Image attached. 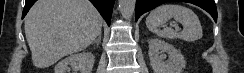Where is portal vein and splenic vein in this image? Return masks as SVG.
Segmentation results:
<instances>
[{
	"mask_svg": "<svg viewBox=\"0 0 244 73\" xmlns=\"http://www.w3.org/2000/svg\"><path fill=\"white\" fill-rule=\"evenodd\" d=\"M175 30H176V31H179V30H180V28H179L178 26H176V27H175Z\"/></svg>",
	"mask_w": 244,
	"mask_h": 73,
	"instance_id": "portal-vein-and-splenic-vein-1",
	"label": "portal vein and splenic vein"
}]
</instances>
